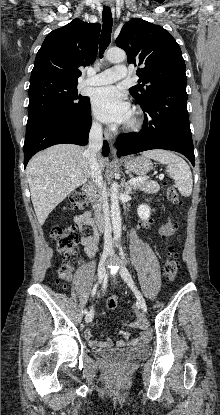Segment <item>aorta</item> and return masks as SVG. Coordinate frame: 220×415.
Wrapping results in <instances>:
<instances>
[{
	"mask_svg": "<svg viewBox=\"0 0 220 415\" xmlns=\"http://www.w3.org/2000/svg\"><path fill=\"white\" fill-rule=\"evenodd\" d=\"M106 59L112 63H120L126 59V53L124 50L120 48H110L106 52ZM118 190L119 185L114 182L110 189V197H111V221L113 227L114 238L119 241L122 234V227H121V212L118 200Z\"/></svg>",
	"mask_w": 220,
	"mask_h": 415,
	"instance_id": "aorta-1",
	"label": "aorta"
}]
</instances>
